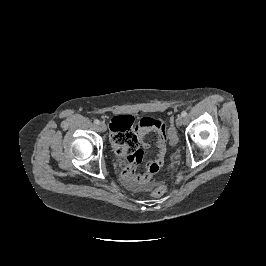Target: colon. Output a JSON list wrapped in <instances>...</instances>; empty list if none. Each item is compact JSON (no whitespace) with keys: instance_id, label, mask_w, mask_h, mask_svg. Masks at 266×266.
Listing matches in <instances>:
<instances>
[{"instance_id":"1","label":"colon","mask_w":266,"mask_h":266,"mask_svg":"<svg viewBox=\"0 0 266 266\" xmlns=\"http://www.w3.org/2000/svg\"><path fill=\"white\" fill-rule=\"evenodd\" d=\"M166 193V187L164 185H157L151 191L150 194L153 197H162Z\"/></svg>"}]
</instances>
